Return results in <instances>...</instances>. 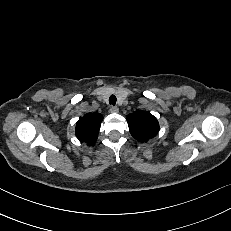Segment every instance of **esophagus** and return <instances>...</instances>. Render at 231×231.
Here are the masks:
<instances>
[{"label": "esophagus", "instance_id": "34e87169", "mask_svg": "<svg viewBox=\"0 0 231 231\" xmlns=\"http://www.w3.org/2000/svg\"><path fill=\"white\" fill-rule=\"evenodd\" d=\"M119 109L116 106H110L109 112L110 113H118Z\"/></svg>", "mask_w": 231, "mask_h": 231}]
</instances>
